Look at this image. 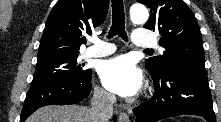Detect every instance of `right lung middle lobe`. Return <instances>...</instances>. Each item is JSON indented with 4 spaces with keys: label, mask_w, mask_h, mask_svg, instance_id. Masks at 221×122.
<instances>
[{
    "label": "right lung middle lobe",
    "mask_w": 221,
    "mask_h": 122,
    "mask_svg": "<svg viewBox=\"0 0 221 122\" xmlns=\"http://www.w3.org/2000/svg\"><path fill=\"white\" fill-rule=\"evenodd\" d=\"M78 54L50 56L37 60L31 85L61 80H80L91 70L77 63Z\"/></svg>",
    "instance_id": "dd1d6c3e"
}]
</instances>
